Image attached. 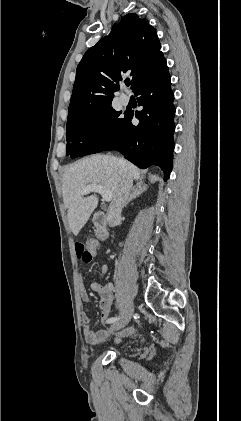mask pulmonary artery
<instances>
[{"label":"pulmonary artery","mask_w":241,"mask_h":421,"mask_svg":"<svg viewBox=\"0 0 241 421\" xmlns=\"http://www.w3.org/2000/svg\"><path fill=\"white\" fill-rule=\"evenodd\" d=\"M119 101L123 105H127L130 101V97L127 94H121L119 97Z\"/></svg>","instance_id":"obj_1"}]
</instances>
